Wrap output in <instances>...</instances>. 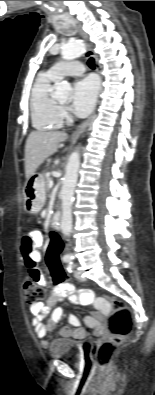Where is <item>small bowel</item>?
I'll use <instances>...</instances> for the list:
<instances>
[{
  "instance_id": "c3829d8e",
  "label": "small bowel",
  "mask_w": 155,
  "mask_h": 395,
  "mask_svg": "<svg viewBox=\"0 0 155 395\" xmlns=\"http://www.w3.org/2000/svg\"><path fill=\"white\" fill-rule=\"evenodd\" d=\"M42 244L41 234L38 232H32L23 237L21 241L20 250L24 258L25 265L27 267L29 276L34 277L40 285L45 287L47 280L42 274L38 262L40 261L41 254L38 248ZM75 283H66L64 288H54L52 293L47 299L46 303L38 302L30 305V312L33 315L32 326L34 328L36 336L40 340V345L44 349H48L51 346V342L47 339V335L51 332L55 326L59 323L62 318V309L57 304L64 299L69 297L72 302L79 301L84 305H95L96 311H101L102 315H111L113 311V304L110 300H106L105 296H94L90 290H82L78 294L76 293ZM50 314L49 319L44 322V319ZM70 322L75 328L63 327L60 330V335L63 338H75L82 339L85 337L86 332L80 327V322L75 316L70 317ZM84 323L94 330L95 334H101L103 332V325L97 316H87L84 318Z\"/></svg>"
}]
</instances>
